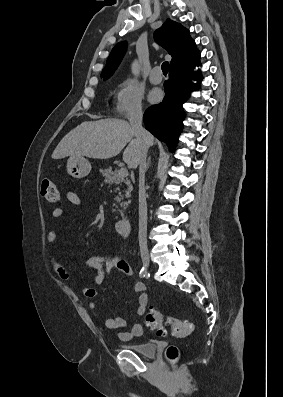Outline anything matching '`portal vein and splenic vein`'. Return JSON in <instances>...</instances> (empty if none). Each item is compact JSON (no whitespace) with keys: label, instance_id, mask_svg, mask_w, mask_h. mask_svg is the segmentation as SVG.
Returning <instances> with one entry per match:
<instances>
[{"label":"portal vein and splenic vein","instance_id":"1","mask_svg":"<svg viewBox=\"0 0 283 397\" xmlns=\"http://www.w3.org/2000/svg\"><path fill=\"white\" fill-rule=\"evenodd\" d=\"M127 175H128V170H127L126 168H121V169L118 171V176H119V177L124 178V177H126Z\"/></svg>","mask_w":283,"mask_h":397}]
</instances>
